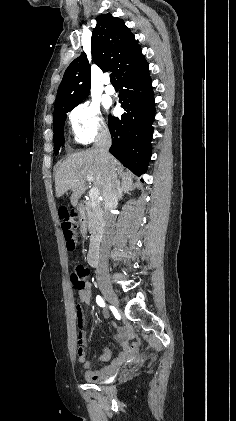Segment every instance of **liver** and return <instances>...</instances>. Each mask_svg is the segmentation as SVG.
Segmentation results:
<instances>
[{
  "mask_svg": "<svg viewBox=\"0 0 236 421\" xmlns=\"http://www.w3.org/2000/svg\"><path fill=\"white\" fill-rule=\"evenodd\" d=\"M112 168H121L120 162L110 156L107 164L101 162V156L96 148H88L82 152L69 154L66 160L59 162L55 168V188L56 196H62L67 190H72L70 202L72 206H77L78 200L85 192L87 176H93V184L98 188L100 196L105 192V186L109 182L108 174ZM123 184H131V172H122Z\"/></svg>",
  "mask_w": 236,
  "mask_h": 421,
  "instance_id": "obj_1",
  "label": "liver"
}]
</instances>
